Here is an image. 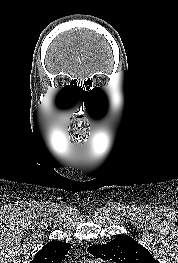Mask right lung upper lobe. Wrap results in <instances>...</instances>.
<instances>
[{
	"label": "right lung upper lobe",
	"instance_id": "right-lung-upper-lobe-1",
	"mask_svg": "<svg viewBox=\"0 0 178 263\" xmlns=\"http://www.w3.org/2000/svg\"><path fill=\"white\" fill-rule=\"evenodd\" d=\"M71 248V245L62 241L47 243L30 263H61Z\"/></svg>",
	"mask_w": 178,
	"mask_h": 263
}]
</instances>
